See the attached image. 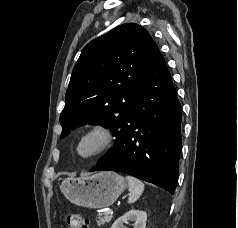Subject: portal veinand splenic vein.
<instances>
[{
	"mask_svg": "<svg viewBox=\"0 0 238 228\" xmlns=\"http://www.w3.org/2000/svg\"><path fill=\"white\" fill-rule=\"evenodd\" d=\"M104 214H105V215H107V214L112 215V214H113V210H112V209H109V210H107L106 212H104Z\"/></svg>",
	"mask_w": 238,
	"mask_h": 228,
	"instance_id": "1",
	"label": "portal vein and splenic vein"
}]
</instances>
